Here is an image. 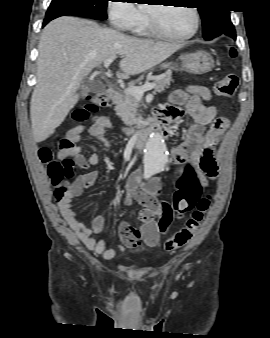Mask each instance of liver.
<instances>
[{"instance_id": "6515ba94", "label": "liver", "mask_w": 270, "mask_h": 338, "mask_svg": "<svg viewBox=\"0 0 270 338\" xmlns=\"http://www.w3.org/2000/svg\"><path fill=\"white\" fill-rule=\"evenodd\" d=\"M182 44L127 36L76 17H60L44 29L39 41L37 84L30 102L35 142L49 138L78 102L82 80L106 59L121 55L119 77L145 72Z\"/></svg>"}]
</instances>
